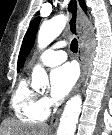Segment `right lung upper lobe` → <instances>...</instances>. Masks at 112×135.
<instances>
[{
	"label": "right lung upper lobe",
	"instance_id": "cb5924a9",
	"mask_svg": "<svg viewBox=\"0 0 112 135\" xmlns=\"http://www.w3.org/2000/svg\"><path fill=\"white\" fill-rule=\"evenodd\" d=\"M80 6L85 10L86 6H85V2L83 0H79Z\"/></svg>",
	"mask_w": 112,
	"mask_h": 135
}]
</instances>
